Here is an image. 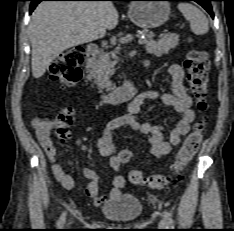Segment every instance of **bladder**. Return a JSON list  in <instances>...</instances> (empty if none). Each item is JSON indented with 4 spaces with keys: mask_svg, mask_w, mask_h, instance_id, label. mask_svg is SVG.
<instances>
[{
    "mask_svg": "<svg viewBox=\"0 0 234 231\" xmlns=\"http://www.w3.org/2000/svg\"><path fill=\"white\" fill-rule=\"evenodd\" d=\"M101 212L110 220L129 222L138 219L143 213L141 201L130 194H119L115 199L107 202Z\"/></svg>",
    "mask_w": 234,
    "mask_h": 231,
    "instance_id": "1",
    "label": "bladder"
}]
</instances>
